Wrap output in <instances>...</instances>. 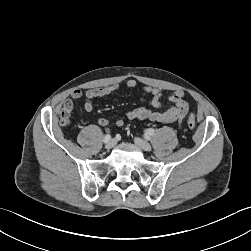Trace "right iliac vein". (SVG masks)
<instances>
[{
  "mask_svg": "<svg viewBox=\"0 0 251 251\" xmlns=\"http://www.w3.org/2000/svg\"><path fill=\"white\" fill-rule=\"evenodd\" d=\"M114 146H115V140L112 139L106 143L105 148L109 150V149L113 148Z\"/></svg>",
  "mask_w": 251,
  "mask_h": 251,
  "instance_id": "right-iliac-vein-1",
  "label": "right iliac vein"
}]
</instances>
